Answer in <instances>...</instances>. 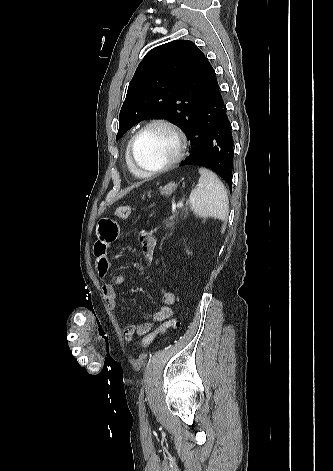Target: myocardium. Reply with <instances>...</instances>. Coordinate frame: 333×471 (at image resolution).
Masks as SVG:
<instances>
[{
  "label": "myocardium",
  "mask_w": 333,
  "mask_h": 471,
  "mask_svg": "<svg viewBox=\"0 0 333 471\" xmlns=\"http://www.w3.org/2000/svg\"><path fill=\"white\" fill-rule=\"evenodd\" d=\"M153 126H163L169 129L174 134L177 140V152L175 156L164 165L157 168H153V169H146L137 162L136 157H135V148L142 134ZM187 147H188L187 137L185 133L183 132V130L177 124L165 118H154L146 122L143 126H141L137 130V132L133 135V137L130 140L129 147H128V156H129V160L132 166L138 172H140L144 176H151V175L163 173L171 169L175 165H177L183 159L187 151Z\"/></svg>",
  "instance_id": "f54148a6"
}]
</instances>
